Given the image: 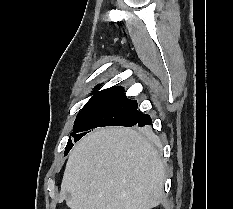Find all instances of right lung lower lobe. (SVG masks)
Instances as JSON below:
<instances>
[{
    "label": "right lung lower lobe",
    "instance_id": "98d812e1",
    "mask_svg": "<svg viewBox=\"0 0 233 209\" xmlns=\"http://www.w3.org/2000/svg\"><path fill=\"white\" fill-rule=\"evenodd\" d=\"M151 118L147 114H142L139 120L137 121L136 125L139 127H144L146 125H151Z\"/></svg>",
    "mask_w": 233,
    "mask_h": 209
}]
</instances>
